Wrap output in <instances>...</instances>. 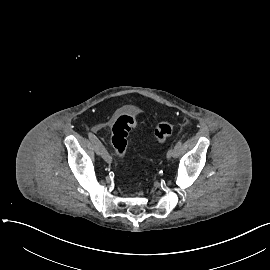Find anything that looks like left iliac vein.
<instances>
[{
    "instance_id": "1",
    "label": "left iliac vein",
    "mask_w": 270,
    "mask_h": 270,
    "mask_svg": "<svg viewBox=\"0 0 270 270\" xmlns=\"http://www.w3.org/2000/svg\"><path fill=\"white\" fill-rule=\"evenodd\" d=\"M174 156V148H171L168 152H167V159H170L171 157Z\"/></svg>"
}]
</instances>
